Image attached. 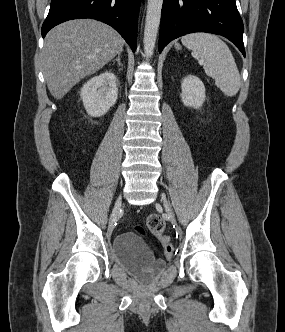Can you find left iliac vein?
<instances>
[{"mask_svg":"<svg viewBox=\"0 0 285 332\" xmlns=\"http://www.w3.org/2000/svg\"><path fill=\"white\" fill-rule=\"evenodd\" d=\"M162 202H163V205H164L165 211H166V213H167V215H168L170 221H171L172 223H175L174 215H173V213H172V210H171V208H170V206H169V204H168V202H167V200H166V198H165L164 196H162Z\"/></svg>","mask_w":285,"mask_h":332,"instance_id":"4c4485c4","label":"left iliac vein"}]
</instances>
